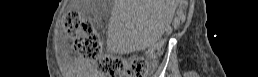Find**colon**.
<instances>
[{
	"instance_id": "obj_1",
	"label": "colon",
	"mask_w": 258,
	"mask_h": 77,
	"mask_svg": "<svg viewBox=\"0 0 258 77\" xmlns=\"http://www.w3.org/2000/svg\"><path fill=\"white\" fill-rule=\"evenodd\" d=\"M63 24L67 34L74 38L77 55L82 59L93 60L98 72L119 74L126 71L134 77H141L147 72L148 64L143 58L124 59L103 54L98 33L90 22L82 21L79 14L67 13Z\"/></svg>"
}]
</instances>
